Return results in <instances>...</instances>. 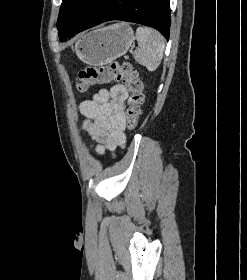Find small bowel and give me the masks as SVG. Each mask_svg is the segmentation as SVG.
Returning <instances> with one entry per match:
<instances>
[{"instance_id": "obj_1", "label": "small bowel", "mask_w": 247, "mask_h": 280, "mask_svg": "<svg viewBox=\"0 0 247 280\" xmlns=\"http://www.w3.org/2000/svg\"><path fill=\"white\" fill-rule=\"evenodd\" d=\"M127 96L126 87L117 84L110 90H100L91 100L81 103V112L86 117L83 127L96 142L97 153L103 154L106 150L113 151L124 146V102Z\"/></svg>"}]
</instances>
